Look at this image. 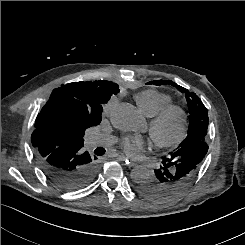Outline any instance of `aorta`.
<instances>
[{
	"instance_id": "obj_1",
	"label": "aorta",
	"mask_w": 245,
	"mask_h": 245,
	"mask_svg": "<svg viewBox=\"0 0 245 245\" xmlns=\"http://www.w3.org/2000/svg\"><path fill=\"white\" fill-rule=\"evenodd\" d=\"M113 126L121 131H140L144 127V119L137 108L130 103L118 104L111 113ZM131 177L136 183H144L153 177L151 170L138 166L131 172Z\"/></svg>"
}]
</instances>
